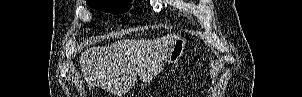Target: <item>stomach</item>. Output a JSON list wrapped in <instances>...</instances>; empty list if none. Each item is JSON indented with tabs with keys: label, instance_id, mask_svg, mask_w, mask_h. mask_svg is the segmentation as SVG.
Returning <instances> with one entry per match:
<instances>
[{
	"label": "stomach",
	"instance_id": "1",
	"mask_svg": "<svg viewBox=\"0 0 302 97\" xmlns=\"http://www.w3.org/2000/svg\"><path fill=\"white\" fill-rule=\"evenodd\" d=\"M187 40L185 37H178L169 53L167 64L168 65H175L184 55L186 49Z\"/></svg>",
	"mask_w": 302,
	"mask_h": 97
}]
</instances>
